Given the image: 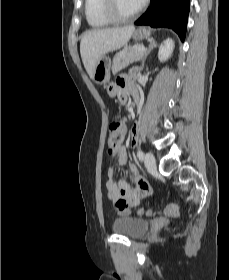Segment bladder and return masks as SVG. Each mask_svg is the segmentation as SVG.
<instances>
[{
  "mask_svg": "<svg viewBox=\"0 0 229 280\" xmlns=\"http://www.w3.org/2000/svg\"><path fill=\"white\" fill-rule=\"evenodd\" d=\"M112 230L118 235L137 239L150 231V225L146 219L125 216L114 220Z\"/></svg>",
  "mask_w": 229,
  "mask_h": 280,
  "instance_id": "1",
  "label": "bladder"
}]
</instances>
